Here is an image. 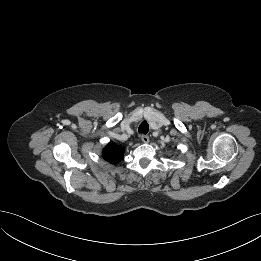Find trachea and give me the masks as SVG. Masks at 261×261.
<instances>
[{"label":"trachea","instance_id":"3493384b","mask_svg":"<svg viewBox=\"0 0 261 261\" xmlns=\"http://www.w3.org/2000/svg\"><path fill=\"white\" fill-rule=\"evenodd\" d=\"M138 131H139V133L147 134L148 131H149V125H148V123H147L146 121H143V122L140 124V126H139V128H138Z\"/></svg>","mask_w":261,"mask_h":261}]
</instances>
